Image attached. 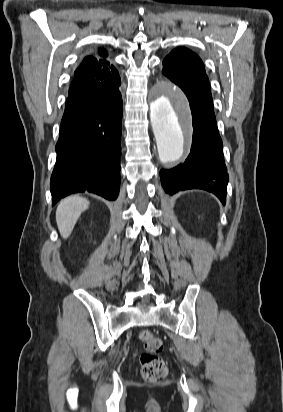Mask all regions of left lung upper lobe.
Returning a JSON list of instances; mask_svg holds the SVG:
<instances>
[{
    "instance_id": "5c2ea615",
    "label": "left lung upper lobe",
    "mask_w": 283,
    "mask_h": 412,
    "mask_svg": "<svg viewBox=\"0 0 283 412\" xmlns=\"http://www.w3.org/2000/svg\"><path fill=\"white\" fill-rule=\"evenodd\" d=\"M162 73L170 80L184 77L210 89L201 59L186 48H176L166 56Z\"/></svg>"
}]
</instances>
